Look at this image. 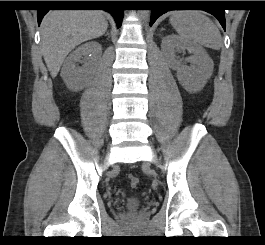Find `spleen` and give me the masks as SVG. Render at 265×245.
Instances as JSON below:
<instances>
[{"label":"spleen","instance_id":"3e777b00","mask_svg":"<svg viewBox=\"0 0 265 245\" xmlns=\"http://www.w3.org/2000/svg\"><path fill=\"white\" fill-rule=\"evenodd\" d=\"M170 23L179 36L207 48L219 50L221 34L216 25L199 11H174Z\"/></svg>","mask_w":265,"mask_h":245}]
</instances>
